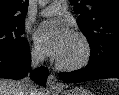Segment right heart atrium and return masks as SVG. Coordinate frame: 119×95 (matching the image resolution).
Segmentation results:
<instances>
[{
    "instance_id": "1",
    "label": "right heart atrium",
    "mask_w": 119,
    "mask_h": 95,
    "mask_svg": "<svg viewBox=\"0 0 119 95\" xmlns=\"http://www.w3.org/2000/svg\"><path fill=\"white\" fill-rule=\"evenodd\" d=\"M32 58L36 61H40L44 58V54L40 48L34 46L31 51Z\"/></svg>"
}]
</instances>
